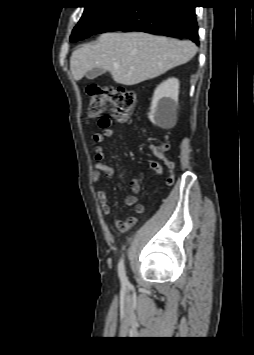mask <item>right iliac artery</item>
<instances>
[{
	"instance_id": "obj_1",
	"label": "right iliac artery",
	"mask_w": 254,
	"mask_h": 355,
	"mask_svg": "<svg viewBox=\"0 0 254 355\" xmlns=\"http://www.w3.org/2000/svg\"><path fill=\"white\" fill-rule=\"evenodd\" d=\"M118 274H119L121 283L123 285H127L128 284V279H127L126 274H125L124 260L123 259H121L119 264H118Z\"/></svg>"
}]
</instances>
